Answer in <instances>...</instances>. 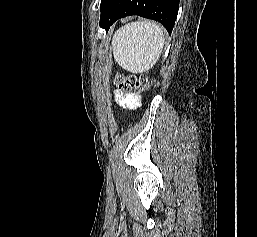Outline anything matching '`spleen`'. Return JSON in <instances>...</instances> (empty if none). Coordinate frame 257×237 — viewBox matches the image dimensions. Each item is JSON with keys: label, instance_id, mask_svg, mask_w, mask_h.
Returning <instances> with one entry per match:
<instances>
[{"label": "spleen", "instance_id": "3e777b00", "mask_svg": "<svg viewBox=\"0 0 257 237\" xmlns=\"http://www.w3.org/2000/svg\"><path fill=\"white\" fill-rule=\"evenodd\" d=\"M162 28L150 21L129 23L113 35L115 61L132 73H143L158 61L164 46Z\"/></svg>", "mask_w": 257, "mask_h": 237}]
</instances>
